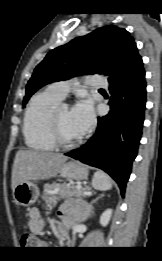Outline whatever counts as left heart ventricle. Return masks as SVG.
Masks as SVG:
<instances>
[{
	"instance_id": "1",
	"label": "left heart ventricle",
	"mask_w": 162,
	"mask_h": 261,
	"mask_svg": "<svg viewBox=\"0 0 162 261\" xmlns=\"http://www.w3.org/2000/svg\"><path fill=\"white\" fill-rule=\"evenodd\" d=\"M57 122L62 137L67 141H73L81 136L72 123L70 111L66 107H61L58 110Z\"/></svg>"
}]
</instances>
